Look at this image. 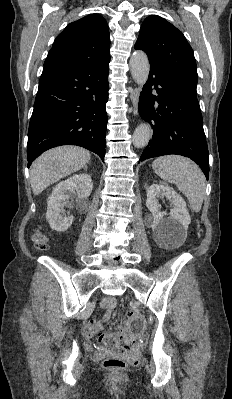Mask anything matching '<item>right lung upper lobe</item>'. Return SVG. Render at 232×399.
<instances>
[{
    "instance_id": "cb5924a9",
    "label": "right lung upper lobe",
    "mask_w": 232,
    "mask_h": 399,
    "mask_svg": "<svg viewBox=\"0 0 232 399\" xmlns=\"http://www.w3.org/2000/svg\"><path fill=\"white\" fill-rule=\"evenodd\" d=\"M107 22L98 14L70 23L55 39L44 62L48 66H74L110 58Z\"/></svg>"
}]
</instances>
